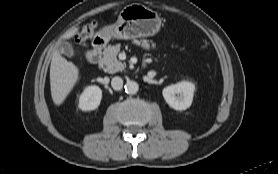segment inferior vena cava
<instances>
[{
	"label": "inferior vena cava",
	"instance_id": "inferior-vena-cava-1",
	"mask_svg": "<svg viewBox=\"0 0 278 174\" xmlns=\"http://www.w3.org/2000/svg\"><path fill=\"white\" fill-rule=\"evenodd\" d=\"M111 85L114 90H121L123 87V79L115 76L112 78Z\"/></svg>",
	"mask_w": 278,
	"mask_h": 174
}]
</instances>
